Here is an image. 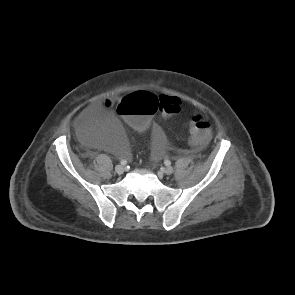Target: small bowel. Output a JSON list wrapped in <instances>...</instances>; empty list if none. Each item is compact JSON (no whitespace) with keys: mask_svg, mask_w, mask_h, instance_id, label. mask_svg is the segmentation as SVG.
<instances>
[{"mask_svg":"<svg viewBox=\"0 0 295 295\" xmlns=\"http://www.w3.org/2000/svg\"><path fill=\"white\" fill-rule=\"evenodd\" d=\"M137 92H142V91H137ZM120 114V113H119ZM122 116V114H120ZM165 115V114H164ZM131 126V125H130ZM132 127V126H131ZM133 128V127H132ZM134 130L138 131V132H143L147 129H151L152 130V139H153V156L155 158H158L161 153H162V131L161 128L158 124H156L152 119L150 124L144 128V129H135ZM130 153H128V155L126 157H129Z\"/></svg>","mask_w":295,"mask_h":295,"instance_id":"obj_1","label":"small bowel"}]
</instances>
